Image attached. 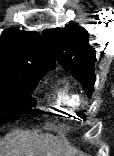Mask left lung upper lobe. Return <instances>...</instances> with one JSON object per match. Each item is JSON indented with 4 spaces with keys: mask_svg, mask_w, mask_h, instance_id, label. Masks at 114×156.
<instances>
[{
    "mask_svg": "<svg viewBox=\"0 0 114 156\" xmlns=\"http://www.w3.org/2000/svg\"><path fill=\"white\" fill-rule=\"evenodd\" d=\"M45 42L57 61L82 82L88 96L95 83L96 51L89 44V33L77 24L43 32Z\"/></svg>",
    "mask_w": 114,
    "mask_h": 156,
    "instance_id": "5c2ea615",
    "label": "left lung upper lobe"
}]
</instances>
